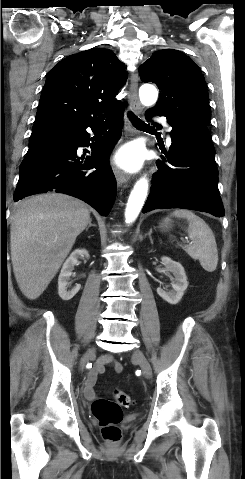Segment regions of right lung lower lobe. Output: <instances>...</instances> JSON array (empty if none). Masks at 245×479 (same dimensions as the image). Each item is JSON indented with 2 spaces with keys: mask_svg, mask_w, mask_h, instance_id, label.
I'll return each instance as SVG.
<instances>
[{
  "mask_svg": "<svg viewBox=\"0 0 245 479\" xmlns=\"http://www.w3.org/2000/svg\"><path fill=\"white\" fill-rule=\"evenodd\" d=\"M103 120L93 117L82 123L56 127L30 140L20 166L14 200L48 191L64 193L85 201L107 216L117 189L108 160L121 135L122 120H116L103 137L90 144L86 128L96 132ZM88 145L91 156H80L78 147ZM92 168L97 170L91 171Z\"/></svg>",
  "mask_w": 245,
  "mask_h": 479,
  "instance_id": "obj_1",
  "label": "right lung lower lobe"
}]
</instances>
